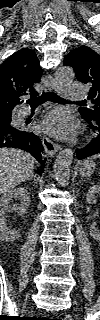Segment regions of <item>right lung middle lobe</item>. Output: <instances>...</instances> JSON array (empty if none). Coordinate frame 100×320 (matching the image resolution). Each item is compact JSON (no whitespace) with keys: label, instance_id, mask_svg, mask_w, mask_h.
<instances>
[{"label":"right lung middle lobe","instance_id":"obj_1","mask_svg":"<svg viewBox=\"0 0 100 320\" xmlns=\"http://www.w3.org/2000/svg\"><path fill=\"white\" fill-rule=\"evenodd\" d=\"M11 118L0 120V130L4 127L10 126Z\"/></svg>","mask_w":100,"mask_h":320}]
</instances>
